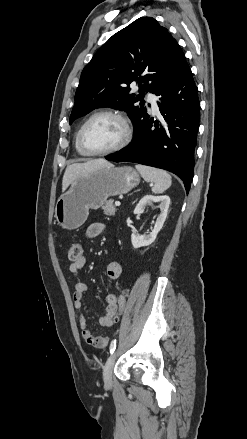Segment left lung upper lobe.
<instances>
[{"label":"left lung upper lobe","mask_w":247,"mask_h":439,"mask_svg":"<svg viewBox=\"0 0 247 439\" xmlns=\"http://www.w3.org/2000/svg\"><path fill=\"white\" fill-rule=\"evenodd\" d=\"M185 55L165 27L151 17H141L114 34L83 69L75 93L70 124L99 107L125 110L134 132L149 118L136 106L144 90L156 94L186 64ZM139 86V95L130 92Z\"/></svg>","instance_id":"5c2ea615"}]
</instances>
